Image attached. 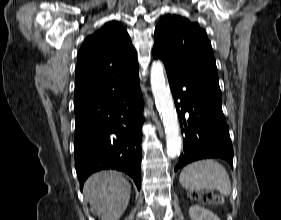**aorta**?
<instances>
[{"label": "aorta", "instance_id": "762f6f07", "mask_svg": "<svg viewBox=\"0 0 281 220\" xmlns=\"http://www.w3.org/2000/svg\"><path fill=\"white\" fill-rule=\"evenodd\" d=\"M151 87L165 129L167 156L175 158L181 150L179 123L171 91L165 82L164 66L160 61L153 62L151 66Z\"/></svg>", "mask_w": 281, "mask_h": 220}]
</instances>
